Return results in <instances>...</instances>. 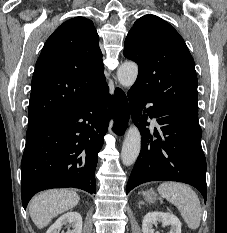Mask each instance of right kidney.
Listing matches in <instances>:
<instances>
[{"instance_id": "right-kidney-1", "label": "right kidney", "mask_w": 227, "mask_h": 233, "mask_svg": "<svg viewBox=\"0 0 227 233\" xmlns=\"http://www.w3.org/2000/svg\"><path fill=\"white\" fill-rule=\"evenodd\" d=\"M63 225H71L72 230L67 233L82 232V217L78 212H67L60 216L56 222L49 227L46 233H59Z\"/></svg>"}]
</instances>
